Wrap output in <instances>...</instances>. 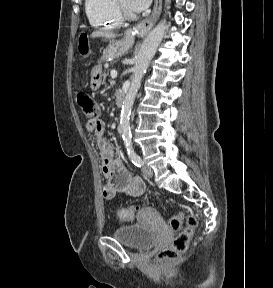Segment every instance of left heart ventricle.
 <instances>
[{
  "label": "left heart ventricle",
  "mask_w": 273,
  "mask_h": 288,
  "mask_svg": "<svg viewBox=\"0 0 273 288\" xmlns=\"http://www.w3.org/2000/svg\"><path fill=\"white\" fill-rule=\"evenodd\" d=\"M121 1V3L127 8V9H129L130 10V8L128 7V5H127V0H120ZM131 11V10H130Z\"/></svg>",
  "instance_id": "1"
}]
</instances>
